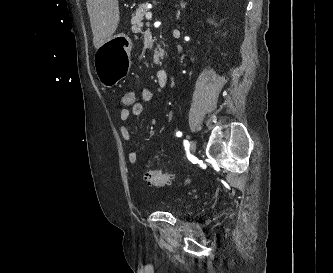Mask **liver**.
Instances as JSON below:
<instances>
[{
    "mask_svg": "<svg viewBox=\"0 0 333 273\" xmlns=\"http://www.w3.org/2000/svg\"><path fill=\"white\" fill-rule=\"evenodd\" d=\"M87 10L96 49L109 40L119 23L118 0H87Z\"/></svg>",
    "mask_w": 333,
    "mask_h": 273,
    "instance_id": "6515ba94",
    "label": "liver"
}]
</instances>
